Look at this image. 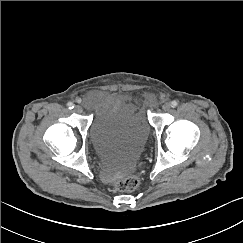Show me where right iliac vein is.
Masks as SVG:
<instances>
[{
    "label": "right iliac vein",
    "mask_w": 243,
    "mask_h": 243,
    "mask_svg": "<svg viewBox=\"0 0 243 243\" xmlns=\"http://www.w3.org/2000/svg\"><path fill=\"white\" fill-rule=\"evenodd\" d=\"M82 111H83V109H82L81 106L76 105V106L74 107V112L80 114V113H82Z\"/></svg>",
    "instance_id": "obj_1"
}]
</instances>
